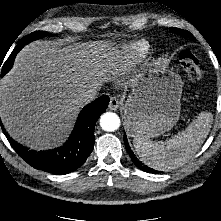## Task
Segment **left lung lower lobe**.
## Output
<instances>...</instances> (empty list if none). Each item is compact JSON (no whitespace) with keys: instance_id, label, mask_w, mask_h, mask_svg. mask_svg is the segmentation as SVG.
<instances>
[{"instance_id":"obj_1","label":"left lung lower lobe","mask_w":221,"mask_h":221,"mask_svg":"<svg viewBox=\"0 0 221 221\" xmlns=\"http://www.w3.org/2000/svg\"><path fill=\"white\" fill-rule=\"evenodd\" d=\"M124 143H125V147H126V151L128 152V154L131 156L132 161L134 162V164L140 168L141 170L148 172V173H156L155 170L147 167L146 165H143L140 161L137 160V158L134 156V154L132 153L128 141H127V137L126 135H124Z\"/></svg>"}]
</instances>
